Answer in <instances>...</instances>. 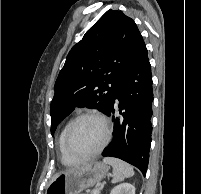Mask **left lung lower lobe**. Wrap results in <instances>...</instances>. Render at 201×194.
<instances>
[{
  "label": "left lung lower lobe",
  "instance_id": "1",
  "mask_svg": "<svg viewBox=\"0 0 201 194\" xmlns=\"http://www.w3.org/2000/svg\"><path fill=\"white\" fill-rule=\"evenodd\" d=\"M145 43L124 75L106 112L114 121V138L103 156L120 158L146 174L151 145L153 88ZM121 116H115V100Z\"/></svg>",
  "mask_w": 201,
  "mask_h": 194
}]
</instances>
